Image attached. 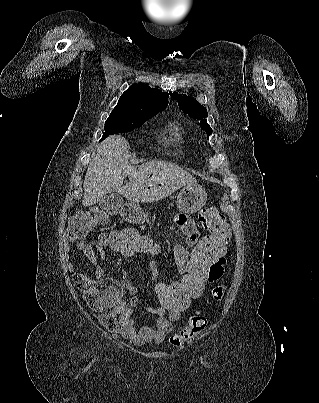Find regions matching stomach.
<instances>
[{
    "label": "stomach",
    "instance_id": "1",
    "mask_svg": "<svg viewBox=\"0 0 319 403\" xmlns=\"http://www.w3.org/2000/svg\"><path fill=\"white\" fill-rule=\"evenodd\" d=\"M207 201L205 189L197 184L185 185L178 194L177 207L180 212L193 214L199 211ZM130 224H145L146 218L140 208H135L129 218Z\"/></svg>",
    "mask_w": 319,
    "mask_h": 403
}]
</instances>
